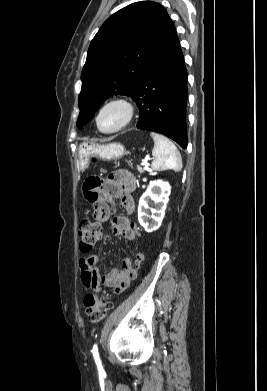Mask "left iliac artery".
Listing matches in <instances>:
<instances>
[{"mask_svg":"<svg viewBox=\"0 0 267 391\" xmlns=\"http://www.w3.org/2000/svg\"><path fill=\"white\" fill-rule=\"evenodd\" d=\"M92 353H93V356H94V359H95V362L97 364L99 371H102L101 361L99 358V353H98V349H97L96 345L93 346Z\"/></svg>","mask_w":267,"mask_h":391,"instance_id":"1","label":"left iliac artery"}]
</instances>
